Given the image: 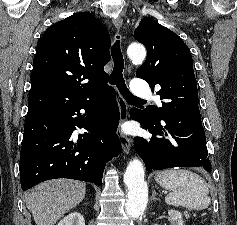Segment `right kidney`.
<instances>
[{
	"label": "right kidney",
	"instance_id": "ca27d5eb",
	"mask_svg": "<svg viewBox=\"0 0 237 225\" xmlns=\"http://www.w3.org/2000/svg\"><path fill=\"white\" fill-rule=\"evenodd\" d=\"M57 225H85V220L79 212H73L60 220Z\"/></svg>",
	"mask_w": 237,
	"mask_h": 225
}]
</instances>
